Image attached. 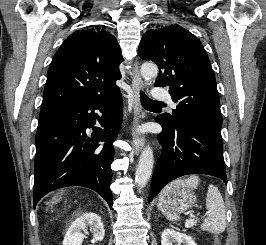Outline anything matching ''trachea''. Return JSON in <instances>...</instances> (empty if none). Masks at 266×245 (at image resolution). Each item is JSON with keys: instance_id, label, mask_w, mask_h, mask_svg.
Returning a JSON list of instances; mask_svg holds the SVG:
<instances>
[{"instance_id": "1", "label": "trachea", "mask_w": 266, "mask_h": 245, "mask_svg": "<svg viewBox=\"0 0 266 245\" xmlns=\"http://www.w3.org/2000/svg\"><path fill=\"white\" fill-rule=\"evenodd\" d=\"M140 101L143 106L146 105H163V102H157L156 100H152L145 95L144 92H140Z\"/></svg>"}]
</instances>
